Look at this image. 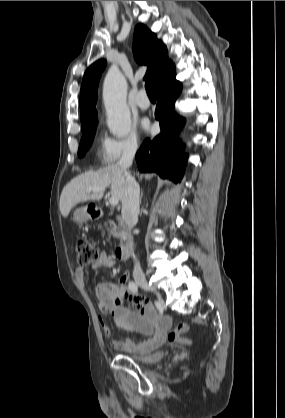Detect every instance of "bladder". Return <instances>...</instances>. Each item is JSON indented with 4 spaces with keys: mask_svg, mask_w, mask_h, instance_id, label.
Masks as SVG:
<instances>
[{
    "mask_svg": "<svg viewBox=\"0 0 285 418\" xmlns=\"http://www.w3.org/2000/svg\"><path fill=\"white\" fill-rule=\"evenodd\" d=\"M127 356L133 361L147 364L160 361L164 354L159 350H148L143 352H129Z\"/></svg>",
    "mask_w": 285,
    "mask_h": 418,
    "instance_id": "bladder-1",
    "label": "bladder"
}]
</instances>
